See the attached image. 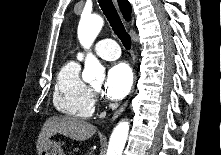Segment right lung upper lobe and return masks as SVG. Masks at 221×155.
Instances as JSON below:
<instances>
[{
    "instance_id": "obj_1",
    "label": "right lung upper lobe",
    "mask_w": 221,
    "mask_h": 155,
    "mask_svg": "<svg viewBox=\"0 0 221 155\" xmlns=\"http://www.w3.org/2000/svg\"><path fill=\"white\" fill-rule=\"evenodd\" d=\"M119 7L126 20H130L131 17V5L128 0H118Z\"/></svg>"
}]
</instances>
